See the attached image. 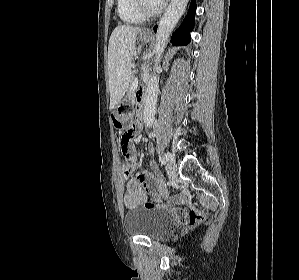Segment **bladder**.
Listing matches in <instances>:
<instances>
[{"mask_svg": "<svg viewBox=\"0 0 299 280\" xmlns=\"http://www.w3.org/2000/svg\"><path fill=\"white\" fill-rule=\"evenodd\" d=\"M173 226L171 216L162 209H133L124 217V227L128 234L150 239L166 237Z\"/></svg>", "mask_w": 299, "mask_h": 280, "instance_id": "31cf9c89", "label": "bladder"}]
</instances>
